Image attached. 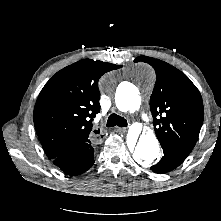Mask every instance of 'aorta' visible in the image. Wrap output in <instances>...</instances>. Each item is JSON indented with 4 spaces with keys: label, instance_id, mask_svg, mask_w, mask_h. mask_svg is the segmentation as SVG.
Listing matches in <instances>:
<instances>
[{
    "label": "aorta",
    "instance_id": "762f6f07",
    "mask_svg": "<svg viewBox=\"0 0 221 221\" xmlns=\"http://www.w3.org/2000/svg\"><path fill=\"white\" fill-rule=\"evenodd\" d=\"M135 71L144 79L152 81L155 78L154 70L148 64L136 65ZM110 83V79L104 80L103 87L106 90L109 89ZM115 103L121 112H134L140 108L141 98L137 89L132 85H128L123 90L116 91ZM159 154V142L153 131L142 133L133 152L134 160L143 166H149L159 157Z\"/></svg>",
    "mask_w": 221,
    "mask_h": 221
}]
</instances>
